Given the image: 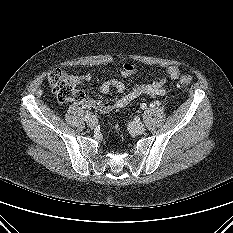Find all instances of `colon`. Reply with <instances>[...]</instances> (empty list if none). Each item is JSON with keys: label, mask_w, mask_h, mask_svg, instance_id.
Returning <instances> with one entry per match:
<instances>
[{"label": "colon", "mask_w": 233, "mask_h": 233, "mask_svg": "<svg viewBox=\"0 0 233 233\" xmlns=\"http://www.w3.org/2000/svg\"><path fill=\"white\" fill-rule=\"evenodd\" d=\"M191 81L190 75H183L179 79V84L188 85ZM48 82L57 99L62 103L80 102L84 98L83 92L76 87L75 79L62 69L51 71Z\"/></svg>", "instance_id": "obj_1"}]
</instances>
